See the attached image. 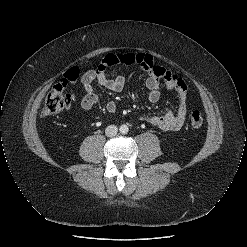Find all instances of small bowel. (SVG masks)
<instances>
[{
    "label": "small bowel",
    "mask_w": 247,
    "mask_h": 247,
    "mask_svg": "<svg viewBox=\"0 0 247 247\" xmlns=\"http://www.w3.org/2000/svg\"><path fill=\"white\" fill-rule=\"evenodd\" d=\"M134 64L139 65L148 74L145 84L150 102L155 103L160 99L161 81L168 89L174 90L178 97L176 112L168 111L162 115H143L141 118L164 131H178L183 126L187 114V85L180 76L161 65H156L152 56L145 53H110L102 59L96 69L85 72L81 77L86 92L81 100L82 108L91 109L99 101V97L94 91V82L113 92H120L124 88L125 77L121 73H117L114 78H109L106 75V70L109 67L121 69ZM105 108L110 114H114L117 110L114 101H108Z\"/></svg>",
    "instance_id": "obj_1"
}]
</instances>
